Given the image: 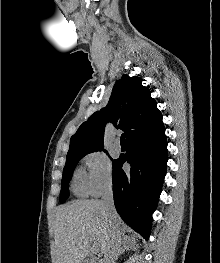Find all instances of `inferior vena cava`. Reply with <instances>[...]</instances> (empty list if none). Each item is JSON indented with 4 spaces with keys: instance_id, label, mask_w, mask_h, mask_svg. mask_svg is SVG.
Here are the masks:
<instances>
[{
    "instance_id": "inferior-vena-cava-1",
    "label": "inferior vena cava",
    "mask_w": 220,
    "mask_h": 263,
    "mask_svg": "<svg viewBox=\"0 0 220 263\" xmlns=\"http://www.w3.org/2000/svg\"><path fill=\"white\" fill-rule=\"evenodd\" d=\"M101 203L105 215L109 218L112 224L110 250L105 258V263H116L120 250L121 238L119 230L116 226H114V220L117 217V212L114 206L113 186L111 181L106 183L102 190Z\"/></svg>"
}]
</instances>
